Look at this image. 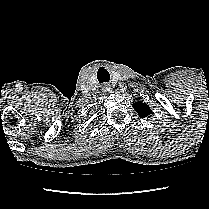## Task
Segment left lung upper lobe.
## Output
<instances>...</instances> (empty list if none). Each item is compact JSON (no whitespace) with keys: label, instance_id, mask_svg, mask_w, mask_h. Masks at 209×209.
Segmentation results:
<instances>
[{"label":"left lung upper lobe","instance_id":"left-lung-upper-lobe-1","mask_svg":"<svg viewBox=\"0 0 209 209\" xmlns=\"http://www.w3.org/2000/svg\"><path fill=\"white\" fill-rule=\"evenodd\" d=\"M133 107L135 111L138 113V116L140 118H145L152 113L150 107L146 103H143L142 101L133 103Z\"/></svg>","mask_w":209,"mask_h":209}]
</instances>
